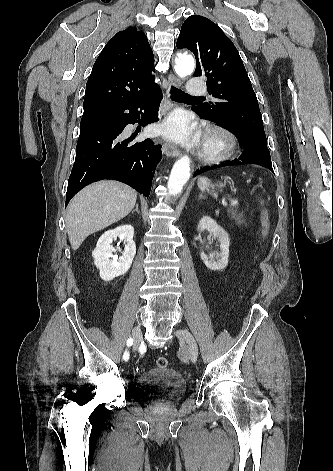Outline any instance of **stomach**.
I'll return each mask as SVG.
<instances>
[{
    "mask_svg": "<svg viewBox=\"0 0 333 471\" xmlns=\"http://www.w3.org/2000/svg\"><path fill=\"white\" fill-rule=\"evenodd\" d=\"M198 187L200 190H210L214 188V185L211 183V181L206 178V177H201L198 179Z\"/></svg>",
    "mask_w": 333,
    "mask_h": 471,
    "instance_id": "0dacf381",
    "label": "stomach"
}]
</instances>
